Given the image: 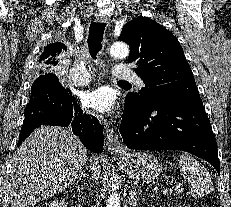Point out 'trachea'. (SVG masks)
<instances>
[{"instance_id": "obj_1", "label": "trachea", "mask_w": 231, "mask_h": 207, "mask_svg": "<svg viewBox=\"0 0 231 207\" xmlns=\"http://www.w3.org/2000/svg\"><path fill=\"white\" fill-rule=\"evenodd\" d=\"M105 23L93 22L89 28V35H88V49L89 53L92 58L96 59L98 53L102 49V41L105 31ZM119 83H126V81H119Z\"/></svg>"}]
</instances>
